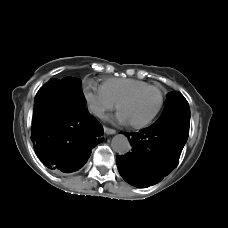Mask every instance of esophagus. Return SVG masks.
<instances>
[{
  "label": "esophagus",
  "mask_w": 228,
  "mask_h": 228,
  "mask_svg": "<svg viewBox=\"0 0 228 228\" xmlns=\"http://www.w3.org/2000/svg\"><path fill=\"white\" fill-rule=\"evenodd\" d=\"M104 132H105L107 135H112V134H115V133H116V130L111 129V128H108V127H104Z\"/></svg>",
  "instance_id": "34e87169"
}]
</instances>
